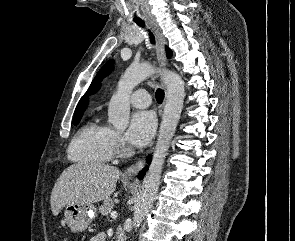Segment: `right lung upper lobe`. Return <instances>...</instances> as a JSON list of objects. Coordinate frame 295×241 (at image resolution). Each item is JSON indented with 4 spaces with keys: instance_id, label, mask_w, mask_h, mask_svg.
I'll return each mask as SVG.
<instances>
[{
    "instance_id": "right-lung-upper-lobe-1",
    "label": "right lung upper lobe",
    "mask_w": 295,
    "mask_h": 241,
    "mask_svg": "<svg viewBox=\"0 0 295 241\" xmlns=\"http://www.w3.org/2000/svg\"><path fill=\"white\" fill-rule=\"evenodd\" d=\"M87 103L88 101L86 96H83L76 107L74 117H79L83 115V112L87 106Z\"/></svg>"
}]
</instances>
